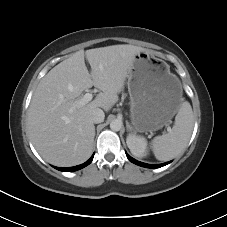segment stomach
<instances>
[{"mask_svg":"<svg viewBox=\"0 0 227 227\" xmlns=\"http://www.w3.org/2000/svg\"><path fill=\"white\" fill-rule=\"evenodd\" d=\"M128 91L133 129L152 132L167 125L182 101V86L169 65L142 51L135 55L128 72Z\"/></svg>","mask_w":227,"mask_h":227,"instance_id":"stomach-1","label":"stomach"}]
</instances>
